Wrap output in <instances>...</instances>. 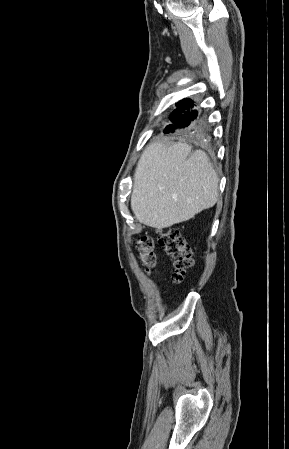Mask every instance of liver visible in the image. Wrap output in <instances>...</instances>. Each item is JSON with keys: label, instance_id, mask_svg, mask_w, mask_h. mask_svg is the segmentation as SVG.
I'll list each match as a JSON object with an SVG mask.
<instances>
[{"label": "liver", "instance_id": "liver-1", "mask_svg": "<svg viewBox=\"0 0 289 449\" xmlns=\"http://www.w3.org/2000/svg\"><path fill=\"white\" fill-rule=\"evenodd\" d=\"M218 183L203 151L191 154L186 143L154 142L138 161L131 209L142 224L168 228L213 207L219 196Z\"/></svg>", "mask_w": 289, "mask_h": 449}]
</instances>
